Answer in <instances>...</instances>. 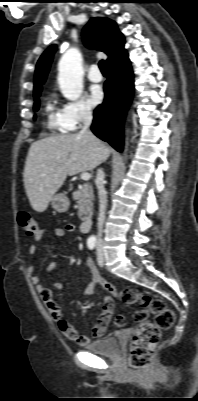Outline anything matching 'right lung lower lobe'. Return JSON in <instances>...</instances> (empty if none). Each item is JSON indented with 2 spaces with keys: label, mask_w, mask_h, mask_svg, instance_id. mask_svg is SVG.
Segmentation results:
<instances>
[{
  "label": "right lung lower lobe",
  "mask_w": 198,
  "mask_h": 401,
  "mask_svg": "<svg viewBox=\"0 0 198 401\" xmlns=\"http://www.w3.org/2000/svg\"><path fill=\"white\" fill-rule=\"evenodd\" d=\"M109 77L104 84V102L95 109L93 133L117 151L123 148V122L133 95V73L124 51L108 64Z\"/></svg>",
  "instance_id": "98d812e1"
}]
</instances>
